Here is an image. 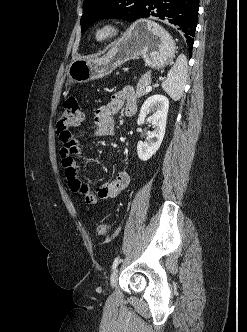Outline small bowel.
I'll use <instances>...</instances> for the list:
<instances>
[{"mask_svg":"<svg viewBox=\"0 0 247 332\" xmlns=\"http://www.w3.org/2000/svg\"><path fill=\"white\" fill-rule=\"evenodd\" d=\"M123 109L126 116H132L137 109L136 95L131 87L116 92L110 102L100 106L94 113L97 126L94 136L111 137L115 134L113 115ZM82 153L79 144L74 140L72 144H63L60 157L65 170L70 190L83 197L87 209L98 200L117 197L129 184L130 176L126 171H120L110 182L92 188L82 182V168L75 160V156Z\"/></svg>","mask_w":247,"mask_h":332,"instance_id":"c3829d8e","label":"small bowel"}]
</instances>
